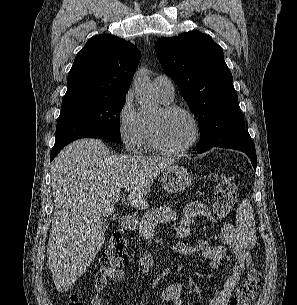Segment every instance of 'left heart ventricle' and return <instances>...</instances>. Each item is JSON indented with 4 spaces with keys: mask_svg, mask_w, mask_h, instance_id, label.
<instances>
[{
    "mask_svg": "<svg viewBox=\"0 0 297 305\" xmlns=\"http://www.w3.org/2000/svg\"><path fill=\"white\" fill-rule=\"evenodd\" d=\"M154 117L158 119L160 137L167 147L178 148L192 139L194 128L186 115L174 113L162 116L159 110Z\"/></svg>",
    "mask_w": 297,
    "mask_h": 305,
    "instance_id": "left-heart-ventricle-1",
    "label": "left heart ventricle"
}]
</instances>
